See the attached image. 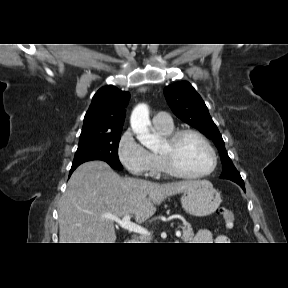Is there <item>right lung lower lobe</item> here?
<instances>
[{
  "label": "right lung lower lobe",
  "mask_w": 288,
  "mask_h": 288,
  "mask_svg": "<svg viewBox=\"0 0 288 288\" xmlns=\"http://www.w3.org/2000/svg\"><path fill=\"white\" fill-rule=\"evenodd\" d=\"M76 168H77V166L71 168L70 173H69V176L72 174V172H73Z\"/></svg>",
  "instance_id": "1"
}]
</instances>
